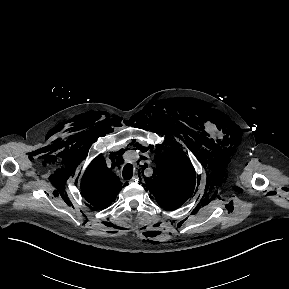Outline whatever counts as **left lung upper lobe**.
Masks as SVG:
<instances>
[{
	"label": "left lung upper lobe",
	"instance_id": "5c2ea615",
	"mask_svg": "<svg viewBox=\"0 0 289 289\" xmlns=\"http://www.w3.org/2000/svg\"><path fill=\"white\" fill-rule=\"evenodd\" d=\"M157 151V167L154 168L152 177L146 179L147 188L161 207L174 210L192 196L195 171L182 150L167 148L165 145V148L160 147Z\"/></svg>",
	"mask_w": 289,
	"mask_h": 289
}]
</instances>
